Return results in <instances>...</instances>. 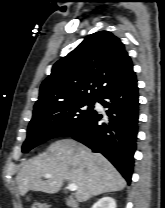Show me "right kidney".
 Wrapping results in <instances>:
<instances>
[{"mask_svg":"<svg viewBox=\"0 0 165 208\" xmlns=\"http://www.w3.org/2000/svg\"><path fill=\"white\" fill-rule=\"evenodd\" d=\"M92 208H116V202L112 197H103Z\"/></svg>","mask_w":165,"mask_h":208,"instance_id":"ca27d5eb","label":"right kidney"}]
</instances>
